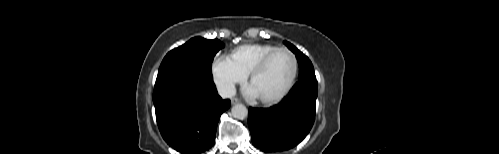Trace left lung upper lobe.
Instances as JSON below:
<instances>
[{"label":"left lung upper lobe","instance_id":"5c2ea615","mask_svg":"<svg viewBox=\"0 0 499 154\" xmlns=\"http://www.w3.org/2000/svg\"><path fill=\"white\" fill-rule=\"evenodd\" d=\"M284 44L294 53H296V58L299 64V79L310 78L316 79L314 68L307 56H305L300 50H298L291 43L284 41Z\"/></svg>","mask_w":499,"mask_h":154}]
</instances>
